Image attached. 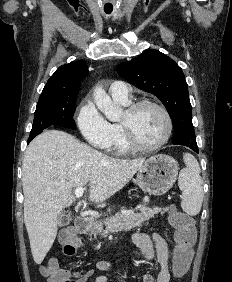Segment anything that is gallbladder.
<instances>
[{
  "label": "gallbladder",
  "instance_id": "1",
  "mask_svg": "<svg viewBox=\"0 0 232 282\" xmlns=\"http://www.w3.org/2000/svg\"><path fill=\"white\" fill-rule=\"evenodd\" d=\"M58 220L60 226H66L71 221V215L70 213H61L58 217Z\"/></svg>",
  "mask_w": 232,
  "mask_h": 282
}]
</instances>
